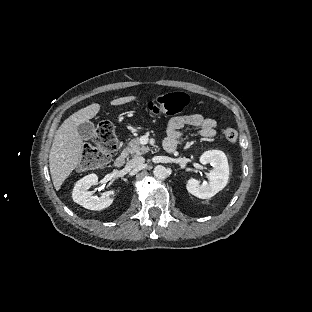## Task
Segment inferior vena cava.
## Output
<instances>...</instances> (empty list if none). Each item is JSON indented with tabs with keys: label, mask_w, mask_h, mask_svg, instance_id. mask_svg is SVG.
I'll return each instance as SVG.
<instances>
[{
	"label": "inferior vena cava",
	"mask_w": 312,
	"mask_h": 312,
	"mask_svg": "<svg viewBox=\"0 0 312 312\" xmlns=\"http://www.w3.org/2000/svg\"><path fill=\"white\" fill-rule=\"evenodd\" d=\"M145 163V159L142 156H136L128 162V166L131 168H136Z\"/></svg>",
	"instance_id": "1"
}]
</instances>
